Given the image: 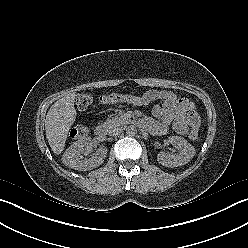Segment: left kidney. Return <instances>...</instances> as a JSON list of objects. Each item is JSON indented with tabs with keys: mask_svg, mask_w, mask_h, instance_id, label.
<instances>
[{
	"mask_svg": "<svg viewBox=\"0 0 248 248\" xmlns=\"http://www.w3.org/2000/svg\"><path fill=\"white\" fill-rule=\"evenodd\" d=\"M167 141L170 144L176 146L179 152L178 154L160 152L157 155V160L163 166L171 168L182 166L187 164L195 156V148L183 137L171 136Z\"/></svg>",
	"mask_w": 248,
	"mask_h": 248,
	"instance_id": "left-kidney-1",
	"label": "left kidney"
}]
</instances>
